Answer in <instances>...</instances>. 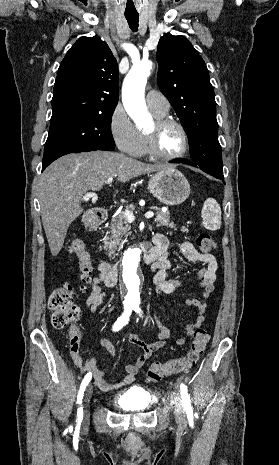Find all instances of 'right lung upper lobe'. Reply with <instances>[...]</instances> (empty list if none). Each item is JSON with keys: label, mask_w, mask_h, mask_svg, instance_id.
<instances>
[{"label": "right lung upper lobe", "mask_w": 279, "mask_h": 465, "mask_svg": "<svg viewBox=\"0 0 279 465\" xmlns=\"http://www.w3.org/2000/svg\"><path fill=\"white\" fill-rule=\"evenodd\" d=\"M118 66L99 37H81L60 64L52 98L51 124L115 109Z\"/></svg>", "instance_id": "right-lung-upper-lobe-1"}]
</instances>
